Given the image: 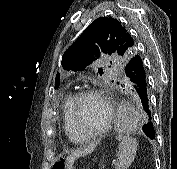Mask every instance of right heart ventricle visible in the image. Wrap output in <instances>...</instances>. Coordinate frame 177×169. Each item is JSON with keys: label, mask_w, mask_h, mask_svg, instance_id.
I'll return each instance as SVG.
<instances>
[{"label": "right heart ventricle", "mask_w": 177, "mask_h": 169, "mask_svg": "<svg viewBox=\"0 0 177 169\" xmlns=\"http://www.w3.org/2000/svg\"><path fill=\"white\" fill-rule=\"evenodd\" d=\"M74 95L72 93H68L63 100L62 104V119H63V129L66 136L73 142H78L76 139V134L72 128L70 111L71 106L74 101Z\"/></svg>", "instance_id": "e07e8e85"}]
</instances>
